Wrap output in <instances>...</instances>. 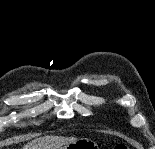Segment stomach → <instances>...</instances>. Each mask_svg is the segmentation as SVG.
<instances>
[{
    "mask_svg": "<svg viewBox=\"0 0 155 149\" xmlns=\"http://www.w3.org/2000/svg\"><path fill=\"white\" fill-rule=\"evenodd\" d=\"M98 149L97 145L89 139H78L75 142L69 143L60 149Z\"/></svg>",
    "mask_w": 155,
    "mask_h": 149,
    "instance_id": "0dacf381",
    "label": "stomach"
}]
</instances>
